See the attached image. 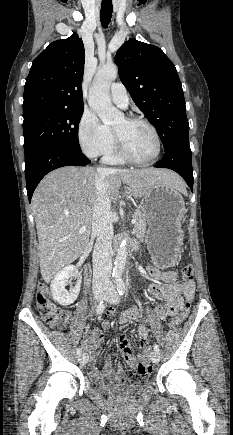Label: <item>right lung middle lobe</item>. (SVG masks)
I'll list each match as a JSON object with an SVG mask.
<instances>
[{
	"mask_svg": "<svg viewBox=\"0 0 233 435\" xmlns=\"http://www.w3.org/2000/svg\"><path fill=\"white\" fill-rule=\"evenodd\" d=\"M83 109H49L23 116L24 152L53 144L78 150V126Z\"/></svg>",
	"mask_w": 233,
	"mask_h": 435,
	"instance_id": "right-lung-middle-lobe-1",
	"label": "right lung middle lobe"
}]
</instances>
